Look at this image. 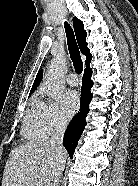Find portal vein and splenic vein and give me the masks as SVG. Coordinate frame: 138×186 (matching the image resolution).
<instances>
[{"label": "portal vein and splenic vein", "instance_id": "18ae733b", "mask_svg": "<svg viewBox=\"0 0 138 186\" xmlns=\"http://www.w3.org/2000/svg\"><path fill=\"white\" fill-rule=\"evenodd\" d=\"M35 186H43L42 181H37V182L35 183Z\"/></svg>", "mask_w": 138, "mask_h": 186}]
</instances>
